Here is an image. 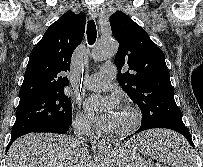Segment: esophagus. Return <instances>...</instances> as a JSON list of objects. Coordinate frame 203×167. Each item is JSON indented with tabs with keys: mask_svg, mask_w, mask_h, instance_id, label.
<instances>
[{
	"mask_svg": "<svg viewBox=\"0 0 203 167\" xmlns=\"http://www.w3.org/2000/svg\"><path fill=\"white\" fill-rule=\"evenodd\" d=\"M89 14L92 18H97L99 16V9L96 7L89 8ZM112 144L108 140H100L98 143V151L101 153H106L110 150Z\"/></svg>",
	"mask_w": 203,
	"mask_h": 167,
	"instance_id": "1",
	"label": "esophagus"
}]
</instances>
